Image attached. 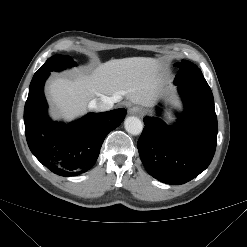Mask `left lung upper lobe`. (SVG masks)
Here are the masks:
<instances>
[{
    "label": "left lung upper lobe",
    "mask_w": 247,
    "mask_h": 247,
    "mask_svg": "<svg viewBox=\"0 0 247 247\" xmlns=\"http://www.w3.org/2000/svg\"><path fill=\"white\" fill-rule=\"evenodd\" d=\"M174 66H177L180 69L175 77L174 84L206 83L200 69L193 63L182 60L181 62L175 63Z\"/></svg>",
    "instance_id": "left-lung-upper-lobe-1"
}]
</instances>
